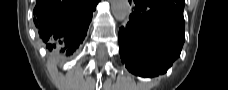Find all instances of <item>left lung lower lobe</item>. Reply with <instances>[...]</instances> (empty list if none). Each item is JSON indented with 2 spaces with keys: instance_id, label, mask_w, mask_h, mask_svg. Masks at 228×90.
<instances>
[{
  "instance_id": "obj_1",
  "label": "left lung lower lobe",
  "mask_w": 228,
  "mask_h": 90,
  "mask_svg": "<svg viewBox=\"0 0 228 90\" xmlns=\"http://www.w3.org/2000/svg\"><path fill=\"white\" fill-rule=\"evenodd\" d=\"M130 21L119 30L120 56L142 77L163 74L180 56L185 41L184 0H129Z\"/></svg>"
}]
</instances>
